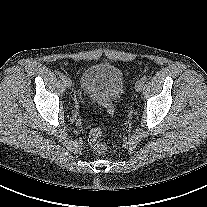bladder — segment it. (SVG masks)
Instances as JSON below:
<instances>
[{
  "label": "bladder",
  "instance_id": "1",
  "mask_svg": "<svg viewBox=\"0 0 207 207\" xmlns=\"http://www.w3.org/2000/svg\"><path fill=\"white\" fill-rule=\"evenodd\" d=\"M80 90L89 97L120 102L125 93L124 74L110 63H96L87 67L80 78Z\"/></svg>",
  "mask_w": 207,
  "mask_h": 207
}]
</instances>
